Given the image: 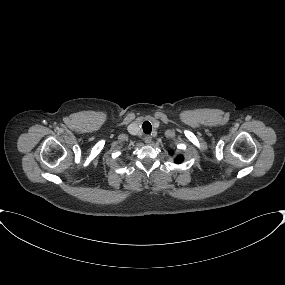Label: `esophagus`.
Listing matches in <instances>:
<instances>
[{"mask_svg": "<svg viewBox=\"0 0 285 285\" xmlns=\"http://www.w3.org/2000/svg\"><path fill=\"white\" fill-rule=\"evenodd\" d=\"M144 141L146 144H151L152 141V137L150 135L145 136Z\"/></svg>", "mask_w": 285, "mask_h": 285, "instance_id": "obj_1", "label": "esophagus"}]
</instances>
